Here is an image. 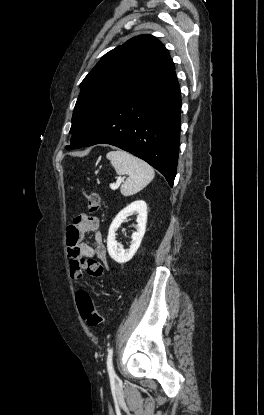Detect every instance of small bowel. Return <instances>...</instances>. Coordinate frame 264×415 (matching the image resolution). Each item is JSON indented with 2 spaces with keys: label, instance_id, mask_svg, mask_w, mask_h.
Masks as SVG:
<instances>
[{
  "label": "small bowel",
  "instance_id": "c3829d8e",
  "mask_svg": "<svg viewBox=\"0 0 264 415\" xmlns=\"http://www.w3.org/2000/svg\"><path fill=\"white\" fill-rule=\"evenodd\" d=\"M89 233H93V243L85 241ZM66 239L68 256L85 259L96 257L99 262L107 264V252L97 218L76 217L68 227Z\"/></svg>",
  "mask_w": 264,
  "mask_h": 415
}]
</instances>
